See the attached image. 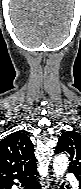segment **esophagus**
<instances>
[{"label": "esophagus", "mask_w": 81, "mask_h": 189, "mask_svg": "<svg viewBox=\"0 0 81 189\" xmlns=\"http://www.w3.org/2000/svg\"><path fill=\"white\" fill-rule=\"evenodd\" d=\"M51 181H56V180H54V178H52ZM46 188L55 189V186L51 184V185L46 186Z\"/></svg>", "instance_id": "34e87169"}]
</instances>
